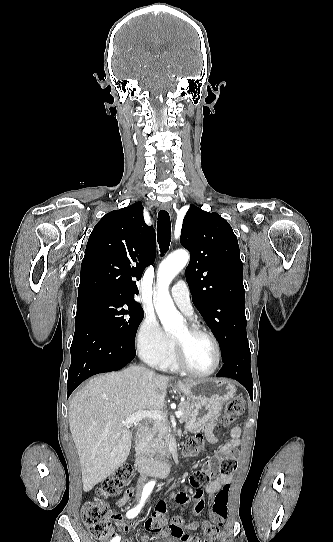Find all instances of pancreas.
I'll use <instances>...</instances> for the list:
<instances>
[{
    "mask_svg": "<svg viewBox=\"0 0 333 542\" xmlns=\"http://www.w3.org/2000/svg\"><path fill=\"white\" fill-rule=\"evenodd\" d=\"M190 402H181L178 406V412H182L180 420L188 422L191 418ZM171 428L168 426L166 418L164 420H154L152 426L147 430L146 438H142L140 446H144L142 456L149 460H162L169 458V438Z\"/></svg>",
    "mask_w": 333,
    "mask_h": 542,
    "instance_id": "pancreas-1",
    "label": "pancreas"
}]
</instances>
